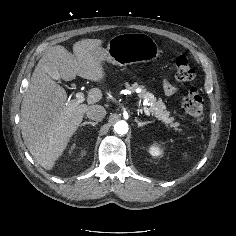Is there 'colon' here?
Listing matches in <instances>:
<instances>
[{
  "mask_svg": "<svg viewBox=\"0 0 236 236\" xmlns=\"http://www.w3.org/2000/svg\"><path fill=\"white\" fill-rule=\"evenodd\" d=\"M176 80L179 84L190 83L195 77V70L185 56H179L175 62ZM181 105L183 110L196 122L204 118V101L195 87H192L182 97Z\"/></svg>",
  "mask_w": 236,
  "mask_h": 236,
  "instance_id": "1",
  "label": "colon"
}]
</instances>
